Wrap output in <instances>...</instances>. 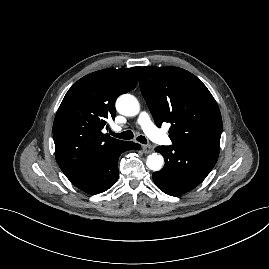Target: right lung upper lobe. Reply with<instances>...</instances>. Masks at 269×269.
<instances>
[{"label": "right lung upper lobe", "instance_id": "right-lung-upper-lobe-1", "mask_svg": "<svg viewBox=\"0 0 269 269\" xmlns=\"http://www.w3.org/2000/svg\"><path fill=\"white\" fill-rule=\"evenodd\" d=\"M141 67L104 69L78 80L66 93L53 124L56 161L70 180L123 145L102 133L115 118V101L134 89Z\"/></svg>", "mask_w": 269, "mask_h": 269}]
</instances>
